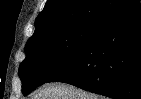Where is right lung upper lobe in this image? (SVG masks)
Returning a JSON list of instances; mask_svg holds the SVG:
<instances>
[{
	"mask_svg": "<svg viewBox=\"0 0 141 99\" xmlns=\"http://www.w3.org/2000/svg\"><path fill=\"white\" fill-rule=\"evenodd\" d=\"M134 2L136 0H47L36 18L35 32L30 39L79 22H101Z\"/></svg>",
	"mask_w": 141,
	"mask_h": 99,
	"instance_id": "cb5924a9",
	"label": "right lung upper lobe"
}]
</instances>
